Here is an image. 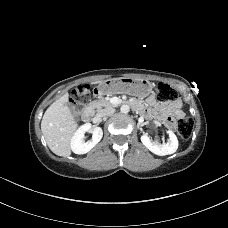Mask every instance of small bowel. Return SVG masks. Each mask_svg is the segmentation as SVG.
I'll return each mask as SVG.
<instances>
[{
  "mask_svg": "<svg viewBox=\"0 0 228 228\" xmlns=\"http://www.w3.org/2000/svg\"><path fill=\"white\" fill-rule=\"evenodd\" d=\"M148 102L151 104H154L155 101V96L151 95L148 98ZM132 106L138 110H141L143 113L148 114L150 111L148 108L143 107L139 101L137 100H132ZM156 109L158 111V116L159 118L165 122V123H170L172 120V117H181L183 115L181 111V101L180 100H175L172 103L168 105H156Z\"/></svg>",
  "mask_w": 228,
  "mask_h": 228,
  "instance_id": "obj_1",
  "label": "small bowel"
}]
</instances>
